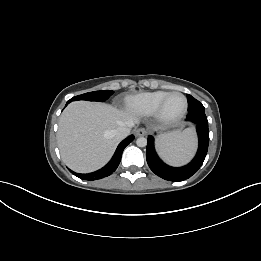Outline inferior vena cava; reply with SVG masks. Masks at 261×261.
Wrapping results in <instances>:
<instances>
[{"mask_svg": "<svg viewBox=\"0 0 261 261\" xmlns=\"http://www.w3.org/2000/svg\"><path fill=\"white\" fill-rule=\"evenodd\" d=\"M130 133V128L129 127H126V126H123V127H119L116 129L115 131V135L116 137L120 138V139H123L125 138L126 136H128Z\"/></svg>", "mask_w": 261, "mask_h": 261, "instance_id": "1", "label": "inferior vena cava"}]
</instances>
